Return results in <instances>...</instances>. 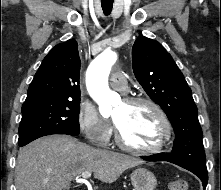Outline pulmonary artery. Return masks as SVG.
<instances>
[{
	"instance_id": "e3ab8cb5",
	"label": "pulmonary artery",
	"mask_w": 221,
	"mask_h": 190,
	"mask_svg": "<svg viewBox=\"0 0 221 190\" xmlns=\"http://www.w3.org/2000/svg\"><path fill=\"white\" fill-rule=\"evenodd\" d=\"M110 84L113 88L121 91H127V78L122 71H116L111 75Z\"/></svg>"
}]
</instances>
